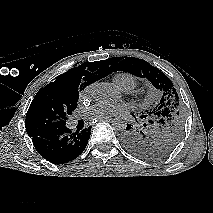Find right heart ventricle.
<instances>
[{
  "label": "right heart ventricle",
  "instance_id": "obj_1",
  "mask_svg": "<svg viewBox=\"0 0 213 213\" xmlns=\"http://www.w3.org/2000/svg\"><path fill=\"white\" fill-rule=\"evenodd\" d=\"M115 85L125 92H129L137 85V79L134 75L126 72L118 73L114 76Z\"/></svg>",
  "mask_w": 213,
  "mask_h": 213
}]
</instances>
